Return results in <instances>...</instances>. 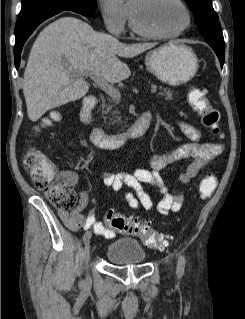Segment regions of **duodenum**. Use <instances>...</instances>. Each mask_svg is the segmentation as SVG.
<instances>
[{"label": "duodenum", "mask_w": 245, "mask_h": 319, "mask_svg": "<svg viewBox=\"0 0 245 319\" xmlns=\"http://www.w3.org/2000/svg\"><path fill=\"white\" fill-rule=\"evenodd\" d=\"M96 99L93 96L84 98L80 108V120L89 127L91 142L102 149H117L127 140L139 138L145 134L150 125L151 116L143 113L127 130L121 133H106L93 122L92 110Z\"/></svg>", "instance_id": "duodenum-1"}]
</instances>
